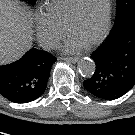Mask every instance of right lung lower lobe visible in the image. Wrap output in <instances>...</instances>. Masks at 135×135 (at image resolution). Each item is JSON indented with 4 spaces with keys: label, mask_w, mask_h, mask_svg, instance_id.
Listing matches in <instances>:
<instances>
[{
    "label": "right lung lower lobe",
    "mask_w": 135,
    "mask_h": 135,
    "mask_svg": "<svg viewBox=\"0 0 135 135\" xmlns=\"http://www.w3.org/2000/svg\"><path fill=\"white\" fill-rule=\"evenodd\" d=\"M56 57L35 48L20 60L0 66V94L15 103H28L45 91Z\"/></svg>",
    "instance_id": "right-lung-lower-lobe-1"
}]
</instances>
